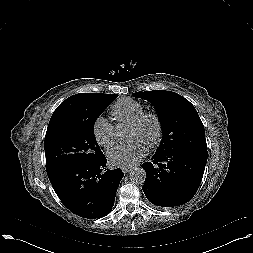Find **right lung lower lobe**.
<instances>
[{"instance_id":"right-lung-lower-lobe-1","label":"right lung lower lobe","mask_w":253,"mask_h":253,"mask_svg":"<svg viewBox=\"0 0 253 253\" xmlns=\"http://www.w3.org/2000/svg\"><path fill=\"white\" fill-rule=\"evenodd\" d=\"M106 163L104 156L93 163L48 173L54 191L71 212L83 218L96 219L112 211L124 173L120 168L109 170Z\"/></svg>"}]
</instances>
